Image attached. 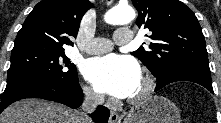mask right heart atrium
Masks as SVG:
<instances>
[{
	"label": "right heart atrium",
	"instance_id": "obj_1",
	"mask_svg": "<svg viewBox=\"0 0 221 123\" xmlns=\"http://www.w3.org/2000/svg\"><path fill=\"white\" fill-rule=\"evenodd\" d=\"M83 93L86 97V99L92 103H100L103 100V97L100 93L92 89L88 86H83Z\"/></svg>",
	"mask_w": 221,
	"mask_h": 123
}]
</instances>
